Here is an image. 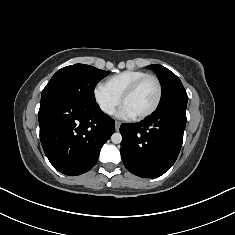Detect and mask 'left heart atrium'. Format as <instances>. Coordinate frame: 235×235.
I'll use <instances>...</instances> for the list:
<instances>
[{
	"instance_id": "left-heart-atrium-1",
	"label": "left heart atrium",
	"mask_w": 235,
	"mask_h": 235,
	"mask_svg": "<svg viewBox=\"0 0 235 235\" xmlns=\"http://www.w3.org/2000/svg\"><path fill=\"white\" fill-rule=\"evenodd\" d=\"M117 116L119 118H123V119H130V118L134 117V115L131 113V111L125 106H122L120 108V110L117 113Z\"/></svg>"
}]
</instances>
